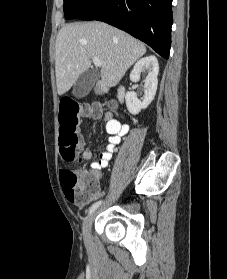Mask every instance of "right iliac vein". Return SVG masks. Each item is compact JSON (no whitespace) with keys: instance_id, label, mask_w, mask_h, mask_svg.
Returning a JSON list of instances; mask_svg holds the SVG:
<instances>
[{"instance_id":"obj_1","label":"right iliac vein","mask_w":227,"mask_h":279,"mask_svg":"<svg viewBox=\"0 0 227 279\" xmlns=\"http://www.w3.org/2000/svg\"><path fill=\"white\" fill-rule=\"evenodd\" d=\"M95 217V212L91 213L84 221L83 224V235L84 239L87 243L90 242V236H91V228H92V223Z\"/></svg>"}]
</instances>
